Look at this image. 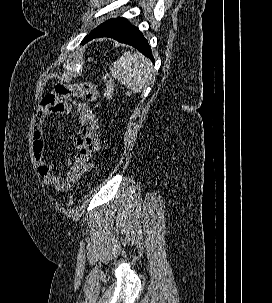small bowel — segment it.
<instances>
[{
    "label": "small bowel",
    "mask_w": 272,
    "mask_h": 303,
    "mask_svg": "<svg viewBox=\"0 0 272 303\" xmlns=\"http://www.w3.org/2000/svg\"><path fill=\"white\" fill-rule=\"evenodd\" d=\"M79 98L95 104L99 98L97 86L91 82L73 85L58 84L44 96L36 113L32 147L38 173L46 186L60 193L70 190L85 173L93 168L92 158L99 149L97 114L88 104L78 102ZM73 106L76 107L79 119L74 140L75 153L64 159L65 169L58 173L55 164L47 160L44 123L52 115L69 114Z\"/></svg>",
    "instance_id": "small-bowel-1"
}]
</instances>
